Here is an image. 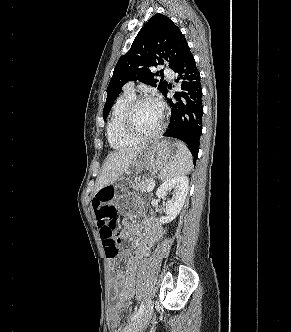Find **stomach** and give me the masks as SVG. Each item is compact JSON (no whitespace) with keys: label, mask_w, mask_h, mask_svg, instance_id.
Instances as JSON below:
<instances>
[{"label":"stomach","mask_w":291,"mask_h":332,"mask_svg":"<svg viewBox=\"0 0 291 332\" xmlns=\"http://www.w3.org/2000/svg\"><path fill=\"white\" fill-rule=\"evenodd\" d=\"M175 156L173 146L169 142L155 141L140 151L131 167L135 173H141L144 170L158 171L163 169ZM132 200H137V197L131 193L122 191L116 197L114 205L120 213H123Z\"/></svg>","instance_id":"obj_1"}]
</instances>
